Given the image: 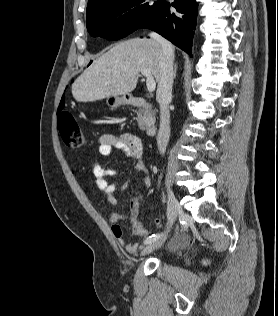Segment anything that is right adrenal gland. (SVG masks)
I'll list each match as a JSON object with an SVG mask.
<instances>
[{
    "label": "right adrenal gland",
    "instance_id": "2a0ac1e0",
    "mask_svg": "<svg viewBox=\"0 0 278 316\" xmlns=\"http://www.w3.org/2000/svg\"><path fill=\"white\" fill-rule=\"evenodd\" d=\"M176 71H177V64L175 63V65H174V78L176 77Z\"/></svg>",
    "mask_w": 278,
    "mask_h": 316
}]
</instances>
